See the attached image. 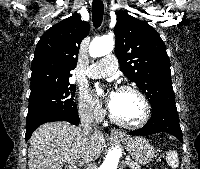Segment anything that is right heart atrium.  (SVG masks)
Wrapping results in <instances>:
<instances>
[{
  "label": "right heart atrium",
  "mask_w": 200,
  "mask_h": 169,
  "mask_svg": "<svg viewBox=\"0 0 200 169\" xmlns=\"http://www.w3.org/2000/svg\"><path fill=\"white\" fill-rule=\"evenodd\" d=\"M77 109L80 117L90 122H101L105 117V112L100 105L85 93L79 94Z\"/></svg>",
  "instance_id": "obj_1"
}]
</instances>
